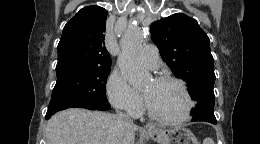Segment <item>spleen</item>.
Here are the masks:
<instances>
[{"mask_svg": "<svg viewBox=\"0 0 260 144\" xmlns=\"http://www.w3.org/2000/svg\"><path fill=\"white\" fill-rule=\"evenodd\" d=\"M203 144H214L213 140L211 138H206L204 141H203Z\"/></svg>", "mask_w": 260, "mask_h": 144, "instance_id": "spleen-1", "label": "spleen"}]
</instances>
